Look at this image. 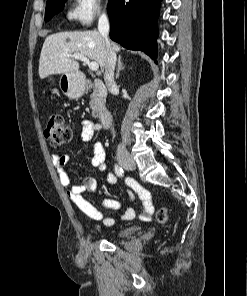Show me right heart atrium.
Returning a JSON list of instances; mask_svg holds the SVG:
<instances>
[{
  "label": "right heart atrium",
  "mask_w": 247,
  "mask_h": 296,
  "mask_svg": "<svg viewBox=\"0 0 247 296\" xmlns=\"http://www.w3.org/2000/svg\"><path fill=\"white\" fill-rule=\"evenodd\" d=\"M104 13V0H72L68 19L73 23L88 27Z\"/></svg>",
  "instance_id": "right-heart-atrium-1"
}]
</instances>
